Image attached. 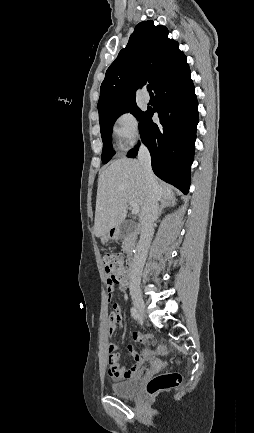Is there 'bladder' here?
I'll return each mask as SVG.
<instances>
[{
  "label": "bladder",
  "mask_w": 254,
  "mask_h": 433,
  "mask_svg": "<svg viewBox=\"0 0 254 433\" xmlns=\"http://www.w3.org/2000/svg\"><path fill=\"white\" fill-rule=\"evenodd\" d=\"M139 376L136 375L125 381L112 383L110 385V390L112 394L118 397H132L136 394L139 387Z\"/></svg>",
  "instance_id": "obj_1"
}]
</instances>
